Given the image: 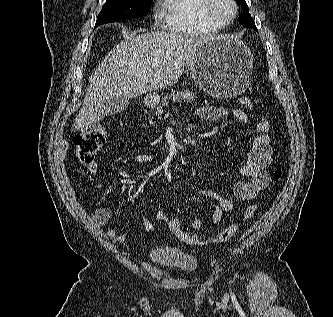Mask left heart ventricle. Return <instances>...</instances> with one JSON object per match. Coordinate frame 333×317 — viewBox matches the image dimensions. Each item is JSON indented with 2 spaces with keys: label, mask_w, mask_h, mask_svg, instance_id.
Listing matches in <instances>:
<instances>
[{
  "label": "left heart ventricle",
  "mask_w": 333,
  "mask_h": 317,
  "mask_svg": "<svg viewBox=\"0 0 333 317\" xmlns=\"http://www.w3.org/2000/svg\"><path fill=\"white\" fill-rule=\"evenodd\" d=\"M215 12L220 18L226 19L232 13V6L228 0H217L215 4Z\"/></svg>",
  "instance_id": "left-heart-ventricle-1"
}]
</instances>
